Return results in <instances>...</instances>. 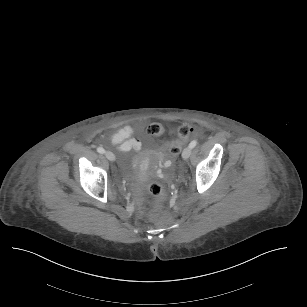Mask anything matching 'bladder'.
Instances as JSON below:
<instances>
[{"mask_svg": "<svg viewBox=\"0 0 307 307\" xmlns=\"http://www.w3.org/2000/svg\"><path fill=\"white\" fill-rule=\"evenodd\" d=\"M139 158V154L137 152H130L126 154L123 158V165L125 168L130 169L132 168Z\"/></svg>", "mask_w": 307, "mask_h": 307, "instance_id": "1", "label": "bladder"}]
</instances>
